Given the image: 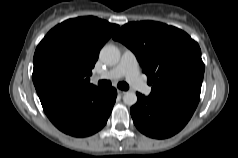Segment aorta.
Instances as JSON below:
<instances>
[{"label":"aorta","instance_id":"1","mask_svg":"<svg viewBox=\"0 0 238 158\" xmlns=\"http://www.w3.org/2000/svg\"><path fill=\"white\" fill-rule=\"evenodd\" d=\"M119 49L111 44L105 45L100 51V59L108 65H116L120 61ZM126 105L132 106L137 102V95L134 91H127L123 96Z\"/></svg>","mask_w":238,"mask_h":158}]
</instances>
